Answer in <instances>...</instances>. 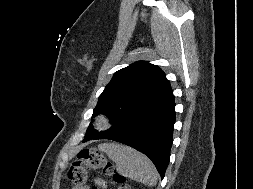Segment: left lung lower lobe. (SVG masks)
<instances>
[{"label":"left lung lower lobe","instance_id":"obj_1","mask_svg":"<svg viewBox=\"0 0 253 189\" xmlns=\"http://www.w3.org/2000/svg\"><path fill=\"white\" fill-rule=\"evenodd\" d=\"M172 90L162 99L138 112L117 128L100 134L85 135L91 139H109L132 146L144 153L156 166L161 179L169 164L175 123Z\"/></svg>","mask_w":253,"mask_h":189}]
</instances>
